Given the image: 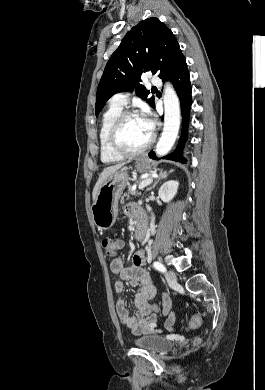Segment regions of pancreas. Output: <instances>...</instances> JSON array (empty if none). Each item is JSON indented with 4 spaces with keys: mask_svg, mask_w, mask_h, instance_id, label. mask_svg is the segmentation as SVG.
I'll list each match as a JSON object with an SVG mask.
<instances>
[{
    "mask_svg": "<svg viewBox=\"0 0 265 390\" xmlns=\"http://www.w3.org/2000/svg\"><path fill=\"white\" fill-rule=\"evenodd\" d=\"M129 195H139V193H137L132 187H129L128 193L124 194V197Z\"/></svg>",
    "mask_w": 265,
    "mask_h": 390,
    "instance_id": "obj_1",
    "label": "pancreas"
}]
</instances>
